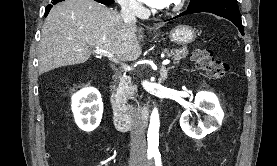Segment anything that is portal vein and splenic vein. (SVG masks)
I'll list each match as a JSON object with an SVG mask.
<instances>
[{"mask_svg":"<svg viewBox=\"0 0 277 166\" xmlns=\"http://www.w3.org/2000/svg\"><path fill=\"white\" fill-rule=\"evenodd\" d=\"M93 52L96 53V54H99V55L107 56L108 58H113V55L110 52L105 51V50L95 49V50H93ZM169 63H170V60H168V59H166L162 62L163 65H167Z\"/></svg>","mask_w":277,"mask_h":166,"instance_id":"18ae733b","label":"portal vein and splenic vein"}]
</instances>
